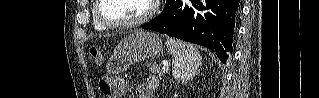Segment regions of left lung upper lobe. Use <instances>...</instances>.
Listing matches in <instances>:
<instances>
[{
    "mask_svg": "<svg viewBox=\"0 0 319 98\" xmlns=\"http://www.w3.org/2000/svg\"><path fill=\"white\" fill-rule=\"evenodd\" d=\"M158 17H159V16H158ZM158 17H156L155 19L151 20L150 22H152V21L156 20Z\"/></svg>",
    "mask_w": 319,
    "mask_h": 98,
    "instance_id": "obj_1",
    "label": "left lung upper lobe"
}]
</instances>
